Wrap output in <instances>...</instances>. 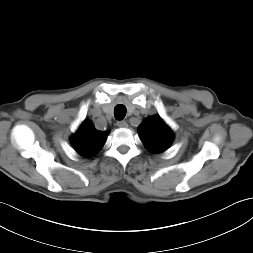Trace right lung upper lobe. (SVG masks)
Wrapping results in <instances>:
<instances>
[{
    "label": "right lung upper lobe",
    "mask_w": 253,
    "mask_h": 253,
    "mask_svg": "<svg viewBox=\"0 0 253 253\" xmlns=\"http://www.w3.org/2000/svg\"><path fill=\"white\" fill-rule=\"evenodd\" d=\"M106 141V134L97 131L92 122L85 120L71 138L75 150L82 156L91 157L98 153Z\"/></svg>",
    "instance_id": "right-lung-upper-lobe-1"
}]
</instances>
